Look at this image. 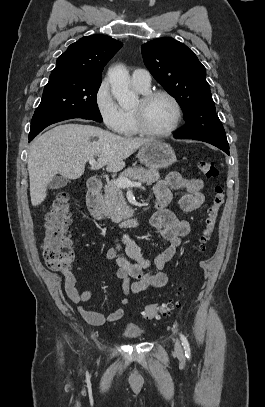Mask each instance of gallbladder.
Listing matches in <instances>:
<instances>
[{"label":"gallbladder","instance_id":"gallbladder-1","mask_svg":"<svg viewBox=\"0 0 265 407\" xmlns=\"http://www.w3.org/2000/svg\"><path fill=\"white\" fill-rule=\"evenodd\" d=\"M69 180L62 176L54 177L51 182L48 184L50 189H60L65 187L68 184Z\"/></svg>","mask_w":265,"mask_h":407}]
</instances>
